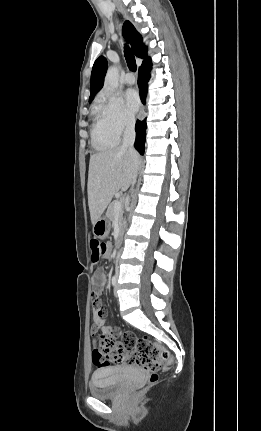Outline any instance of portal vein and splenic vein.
Listing matches in <instances>:
<instances>
[{
    "mask_svg": "<svg viewBox=\"0 0 261 431\" xmlns=\"http://www.w3.org/2000/svg\"><path fill=\"white\" fill-rule=\"evenodd\" d=\"M114 210L116 212H118V211L121 210V202L117 201V202L114 203Z\"/></svg>",
    "mask_w": 261,
    "mask_h": 431,
    "instance_id": "18ae733b",
    "label": "portal vein and splenic vein"
}]
</instances>
